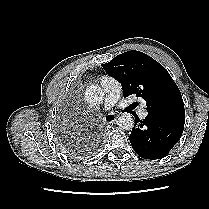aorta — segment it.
<instances>
[{
  "label": "aorta",
  "mask_w": 209,
  "mask_h": 209,
  "mask_svg": "<svg viewBox=\"0 0 209 209\" xmlns=\"http://www.w3.org/2000/svg\"><path fill=\"white\" fill-rule=\"evenodd\" d=\"M103 97L104 92L97 85H91L85 90V100L89 104H100L103 101ZM117 124L121 129L131 130L134 127V119L129 113H123L118 117Z\"/></svg>",
  "instance_id": "762f6f07"
}]
</instances>
